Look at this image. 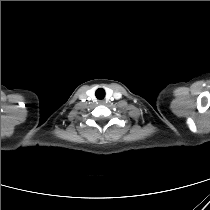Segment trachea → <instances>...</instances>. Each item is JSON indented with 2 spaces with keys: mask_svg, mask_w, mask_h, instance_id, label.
<instances>
[{
  "mask_svg": "<svg viewBox=\"0 0 210 210\" xmlns=\"http://www.w3.org/2000/svg\"><path fill=\"white\" fill-rule=\"evenodd\" d=\"M95 95L98 99H103L105 97V90L102 88H99L96 90Z\"/></svg>",
  "mask_w": 210,
  "mask_h": 210,
  "instance_id": "1",
  "label": "trachea"
}]
</instances>
